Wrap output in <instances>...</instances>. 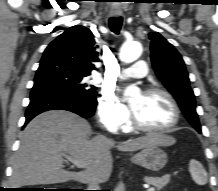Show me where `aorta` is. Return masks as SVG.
I'll use <instances>...</instances> for the list:
<instances>
[{
	"mask_svg": "<svg viewBox=\"0 0 218 191\" xmlns=\"http://www.w3.org/2000/svg\"><path fill=\"white\" fill-rule=\"evenodd\" d=\"M142 54V46L138 42H125L120 49V60L124 63H132L136 61ZM140 94V89L134 85L125 89L124 96L126 100Z\"/></svg>",
	"mask_w": 218,
	"mask_h": 191,
	"instance_id": "1",
	"label": "aorta"
}]
</instances>
